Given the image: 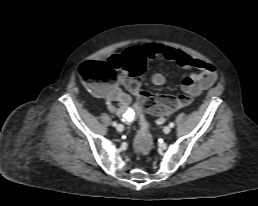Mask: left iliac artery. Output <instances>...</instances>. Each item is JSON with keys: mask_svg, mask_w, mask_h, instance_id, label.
<instances>
[{"mask_svg": "<svg viewBox=\"0 0 258 206\" xmlns=\"http://www.w3.org/2000/svg\"><path fill=\"white\" fill-rule=\"evenodd\" d=\"M174 123L173 122H171L170 124H169V126L172 128V127H174Z\"/></svg>", "mask_w": 258, "mask_h": 206, "instance_id": "44dca946", "label": "left iliac artery"}]
</instances>
